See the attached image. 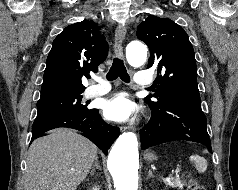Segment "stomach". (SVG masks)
Segmentation results:
<instances>
[{
  "mask_svg": "<svg viewBox=\"0 0 238 190\" xmlns=\"http://www.w3.org/2000/svg\"><path fill=\"white\" fill-rule=\"evenodd\" d=\"M145 160L147 161H154L157 159L156 155L154 153H146L144 155Z\"/></svg>",
  "mask_w": 238,
  "mask_h": 190,
  "instance_id": "stomach-1",
  "label": "stomach"
}]
</instances>
